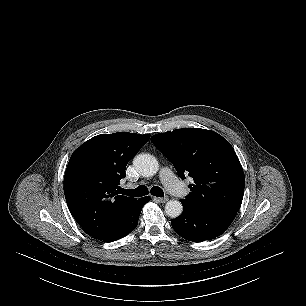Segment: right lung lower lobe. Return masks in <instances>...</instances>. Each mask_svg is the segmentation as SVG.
I'll use <instances>...</instances> for the list:
<instances>
[{
  "instance_id": "obj_1",
  "label": "right lung lower lobe",
  "mask_w": 306,
  "mask_h": 306,
  "mask_svg": "<svg viewBox=\"0 0 306 306\" xmlns=\"http://www.w3.org/2000/svg\"><path fill=\"white\" fill-rule=\"evenodd\" d=\"M149 200H150L149 196L138 199L137 202L130 209L126 218L118 226V228L115 229L112 233L108 234L106 237H104L101 240H103L105 242L115 241L117 239L125 237L131 231H133L138 224V218L140 216V213H141V210H142L143 206Z\"/></svg>"
}]
</instances>
